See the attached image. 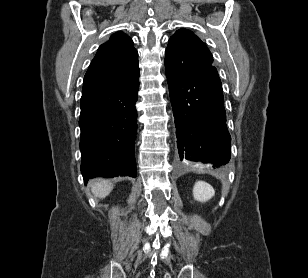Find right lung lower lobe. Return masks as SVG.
<instances>
[{"instance_id":"right-lung-lower-lobe-1","label":"right lung lower lobe","mask_w":308,"mask_h":278,"mask_svg":"<svg viewBox=\"0 0 308 278\" xmlns=\"http://www.w3.org/2000/svg\"><path fill=\"white\" fill-rule=\"evenodd\" d=\"M138 89L139 75L129 85L114 91L82 95L79 125L85 182L97 176L136 177Z\"/></svg>"}]
</instances>
